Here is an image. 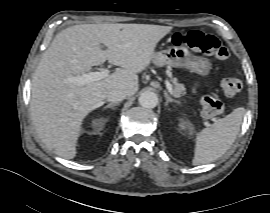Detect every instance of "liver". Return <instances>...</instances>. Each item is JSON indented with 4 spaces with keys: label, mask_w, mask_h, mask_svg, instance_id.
<instances>
[{
    "label": "liver",
    "mask_w": 270,
    "mask_h": 213,
    "mask_svg": "<svg viewBox=\"0 0 270 213\" xmlns=\"http://www.w3.org/2000/svg\"><path fill=\"white\" fill-rule=\"evenodd\" d=\"M171 30L148 24H81L57 34L32 80L31 117L43 143L60 157L73 159L83 119L111 91L120 89L127 96L138 91L137 74L150 65L157 44ZM106 60L121 68L84 85L65 82Z\"/></svg>",
    "instance_id": "1"
}]
</instances>
